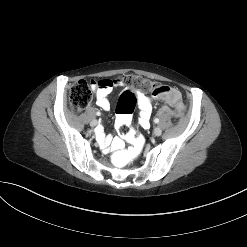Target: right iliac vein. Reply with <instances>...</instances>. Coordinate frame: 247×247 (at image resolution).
<instances>
[{
    "label": "right iliac vein",
    "mask_w": 247,
    "mask_h": 247,
    "mask_svg": "<svg viewBox=\"0 0 247 247\" xmlns=\"http://www.w3.org/2000/svg\"><path fill=\"white\" fill-rule=\"evenodd\" d=\"M98 124V122H97V120H92L91 121V123H90V125L92 126V127H95L96 125Z\"/></svg>",
    "instance_id": "right-iliac-vein-1"
}]
</instances>
